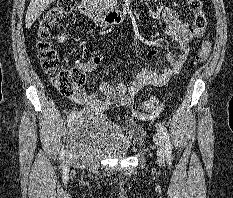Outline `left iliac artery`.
Wrapping results in <instances>:
<instances>
[{
	"label": "left iliac artery",
	"instance_id": "left-iliac-artery-1",
	"mask_svg": "<svg viewBox=\"0 0 233 198\" xmlns=\"http://www.w3.org/2000/svg\"><path fill=\"white\" fill-rule=\"evenodd\" d=\"M157 126L164 140L165 155L168 160H171L172 151H171V142H170L168 131L162 123H158Z\"/></svg>",
	"mask_w": 233,
	"mask_h": 198
}]
</instances>
